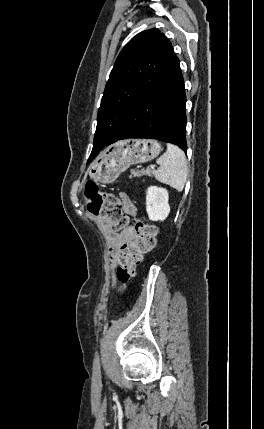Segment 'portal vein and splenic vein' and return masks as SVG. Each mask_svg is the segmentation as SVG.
<instances>
[{
    "label": "portal vein and splenic vein",
    "instance_id": "18ae733b",
    "mask_svg": "<svg viewBox=\"0 0 264 429\" xmlns=\"http://www.w3.org/2000/svg\"><path fill=\"white\" fill-rule=\"evenodd\" d=\"M155 167H156L155 165H151L150 166L151 169H155Z\"/></svg>",
    "mask_w": 264,
    "mask_h": 429
}]
</instances>
